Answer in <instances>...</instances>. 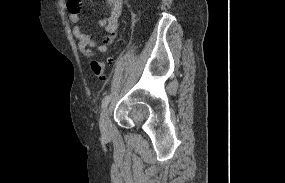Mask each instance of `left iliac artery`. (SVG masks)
Here are the masks:
<instances>
[{
	"mask_svg": "<svg viewBox=\"0 0 285 183\" xmlns=\"http://www.w3.org/2000/svg\"><path fill=\"white\" fill-rule=\"evenodd\" d=\"M110 99H111V96L110 95H107V96H105L104 98H103V100H102V108H105L108 104H109V102H110Z\"/></svg>",
	"mask_w": 285,
	"mask_h": 183,
	"instance_id": "left-iliac-artery-1",
	"label": "left iliac artery"
}]
</instances>
